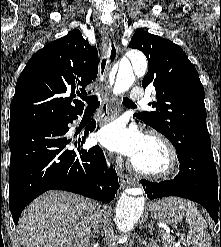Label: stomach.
<instances>
[{
	"mask_svg": "<svg viewBox=\"0 0 221 247\" xmlns=\"http://www.w3.org/2000/svg\"><path fill=\"white\" fill-rule=\"evenodd\" d=\"M182 203L184 200L175 197L158 200L150 206V215L166 224H177L184 217Z\"/></svg>",
	"mask_w": 221,
	"mask_h": 247,
	"instance_id": "obj_1",
	"label": "stomach"
}]
</instances>
